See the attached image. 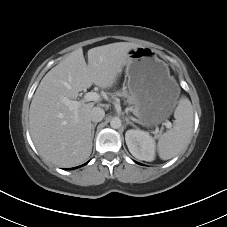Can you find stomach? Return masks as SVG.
Wrapping results in <instances>:
<instances>
[{"instance_id":"0dacf381","label":"stomach","mask_w":227,"mask_h":227,"mask_svg":"<svg viewBox=\"0 0 227 227\" xmlns=\"http://www.w3.org/2000/svg\"><path fill=\"white\" fill-rule=\"evenodd\" d=\"M125 65L128 89L140 124L154 127L167 120L180 93L168 65L157 57L154 49L144 46L131 49Z\"/></svg>"}]
</instances>
